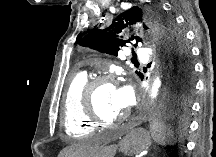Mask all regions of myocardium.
Returning a JSON list of instances; mask_svg holds the SVG:
<instances>
[{
    "label": "myocardium",
    "instance_id": "myocardium-1",
    "mask_svg": "<svg viewBox=\"0 0 216 157\" xmlns=\"http://www.w3.org/2000/svg\"><path fill=\"white\" fill-rule=\"evenodd\" d=\"M107 85L114 86L111 76L101 75L89 80L83 88V92H82L83 110L86 117L90 121H92L95 125H104V126L114 125L125 121L128 117V114L126 113L117 119L106 120L103 117H101L97 112L96 103H95L96 93L101 87Z\"/></svg>",
    "mask_w": 216,
    "mask_h": 157
}]
</instances>
